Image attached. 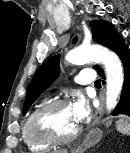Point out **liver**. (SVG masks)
I'll return each instance as SVG.
<instances>
[{
  "label": "liver",
  "instance_id": "obj_1",
  "mask_svg": "<svg viewBox=\"0 0 130 153\" xmlns=\"http://www.w3.org/2000/svg\"><path fill=\"white\" fill-rule=\"evenodd\" d=\"M60 153H67V151H66V150H63V151H61Z\"/></svg>",
  "mask_w": 130,
  "mask_h": 153
}]
</instances>
